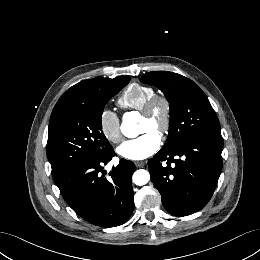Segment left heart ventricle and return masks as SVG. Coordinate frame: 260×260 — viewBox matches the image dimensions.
<instances>
[{"label":"left heart ventricle","mask_w":260,"mask_h":260,"mask_svg":"<svg viewBox=\"0 0 260 260\" xmlns=\"http://www.w3.org/2000/svg\"><path fill=\"white\" fill-rule=\"evenodd\" d=\"M163 108L162 105H157L152 119L142 116L141 118V132L144 133L148 130L157 132L156 126L162 121Z\"/></svg>","instance_id":"left-heart-ventricle-1"}]
</instances>
